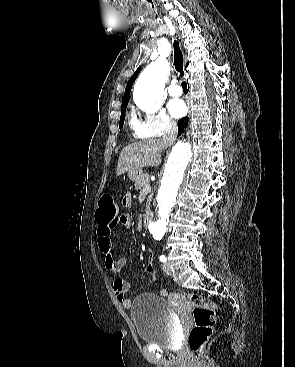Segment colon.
<instances>
[{
  "instance_id": "5ec220e1",
  "label": "colon",
  "mask_w": 295,
  "mask_h": 367,
  "mask_svg": "<svg viewBox=\"0 0 295 367\" xmlns=\"http://www.w3.org/2000/svg\"><path fill=\"white\" fill-rule=\"evenodd\" d=\"M118 206L114 199L105 194L101 197L99 209L97 212V220L102 223L110 222L117 218ZM155 264L151 257L148 260L147 271L155 276ZM193 306L194 327L189 333V346L192 351L201 353L205 343L213 333V327L216 320V305L208 297L198 294L189 293L187 295Z\"/></svg>"
}]
</instances>
